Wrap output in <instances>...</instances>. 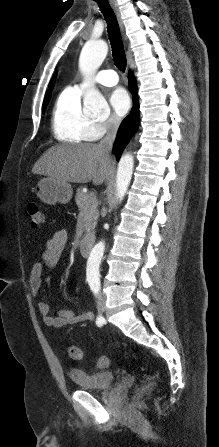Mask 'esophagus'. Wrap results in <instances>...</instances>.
<instances>
[{
  "label": "esophagus",
  "mask_w": 219,
  "mask_h": 447,
  "mask_svg": "<svg viewBox=\"0 0 219 447\" xmlns=\"http://www.w3.org/2000/svg\"><path fill=\"white\" fill-rule=\"evenodd\" d=\"M109 3L116 14L117 20L119 22V26H120L121 30L123 31L124 27H123V22H122V18H121L118 6H117L115 0H109Z\"/></svg>",
  "instance_id": "34e87169"
}]
</instances>
